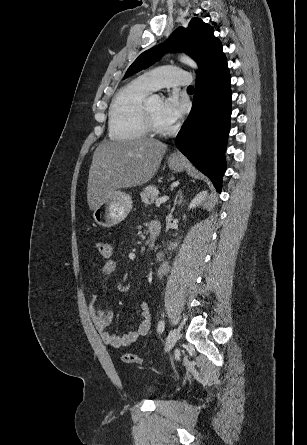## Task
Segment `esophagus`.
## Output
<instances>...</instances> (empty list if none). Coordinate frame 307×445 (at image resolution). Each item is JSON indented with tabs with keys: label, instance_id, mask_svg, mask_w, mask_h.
Here are the masks:
<instances>
[{
	"label": "esophagus",
	"instance_id": "obj_1",
	"mask_svg": "<svg viewBox=\"0 0 307 445\" xmlns=\"http://www.w3.org/2000/svg\"><path fill=\"white\" fill-rule=\"evenodd\" d=\"M170 158H178V154L176 152H173Z\"/></svg>",
	"mask_w": 307,
	"mask_h": 445
}]
</instances>
